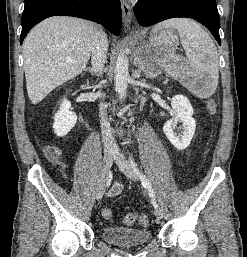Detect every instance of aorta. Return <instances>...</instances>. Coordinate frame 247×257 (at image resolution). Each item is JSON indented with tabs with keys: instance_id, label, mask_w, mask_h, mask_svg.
Returning <instances> with one entry per match:
<instances>
[{
	"instance_id": "1",
	"label": "aorta",
	"mask_w": 247,
	"mask_h": 257,
	"mask_svg": "<svg viewBox=\"0 0 247 257\" xmlns=\"http://www.w3.org/2000/svg\"><path fill=\"white\" fill-rule=\"evenodd\" d=\"M128 66L129 60L127 56L124 53H120L114 70L115 90L120 100H124L127 95L128 82L130 80Z\"/></svg>"
}]
</instances>
